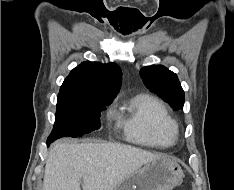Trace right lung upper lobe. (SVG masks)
I'll return each mask as SVG.
<instances>
[{
    "label": "right lung upper lobe",
    "mask_w": 234,
    "mask_h": 190,
    "mask_svg": "<svg viewBox=\"0 0 234 190\" xmlns=\"http://www.w3.org/2000/svg\"><path fill=\"white\" fill-rule=\"evenodd\" d=\"M121 76L115 63L83 62L70 72L58 95L111 102L120 89Z\"/></svg>",
    "instance_id": "cb5924a9"
}]
</instances>
